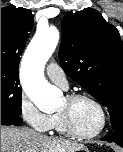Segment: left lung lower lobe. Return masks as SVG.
Here are the masks:
<instances>
[{"label":"left lung lower lobe","mask_w":123,"mask_h":152,"mask_svg":"<svg viewBox=\"0 0 123 152\" xmlns=\"http://www.w3.org/2000/svg\"><path fill=\"white\" fill-rule=\"evenodd\" d=\"M104 141H111L119 144L121 147H123V133L117 132L116 134L109 135L105 138H103Z\"/></svg>","instance_id":"left-lung-lower-lobe-1"}]
</instances>
